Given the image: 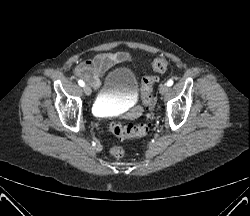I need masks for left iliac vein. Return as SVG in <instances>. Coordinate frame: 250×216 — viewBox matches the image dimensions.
<instances>
[{
	"mask_svg": "<svg viewBox=\"0 0 250 216\" xmlns=\"http://www.w3.org/2000/svg\"><path fill=\"white\" fill-rule=\"evenodd\" d=\"M159 91H160L161 94H165V93L168 91V86H167V84L161 85Z\"/></svg>",
	"mask_w": 250,
	"mask_h": 216,
	"instance_id": "left-iliac-vein-1",
	"label": "left iliac vein"
}]
</instances>
